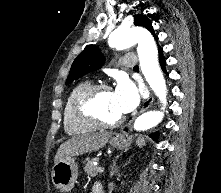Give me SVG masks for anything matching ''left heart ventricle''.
I'll return each instance as SVG.
<instances>
[{
	"label": "left heart ventricle",
	"mask_w": 221,
	"mask_h": 193,
	"mask_svg": "<svg viewBox=\"0 0 221 193\" xmlns=\"http://www.w3.org/2000/svg\"><path fill=\"white\" fill-rule=\"evenodd\" d=\"M98 109L100 114L106 120H115L122 116L120 111L118 110L114 98H113V91H105L101 94L99 101H98Z\"/></svg>",
	"instance_id": "b2bd125f"
}]
</instances>
